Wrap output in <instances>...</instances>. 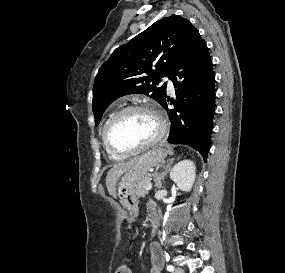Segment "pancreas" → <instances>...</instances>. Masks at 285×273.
Listing matches in <instances>:
<instances>
[{"mask_svg":"<svg viewBox=\"0 0 285 273\" xmlns=\"http://www.w3.org/2000/svg\"><path fill=\"white\" fill-rule=\"evenodd\" d=\"M148 183H150V178L145 177L140 183L137 184L136 195L138 197H144L145 195L148 194V192L146 191V186Z\"/></svg>","mask_w":285,"mask_h":273,"instance_id":"pancreas-1","label":"pancreas"}]
</instances>
